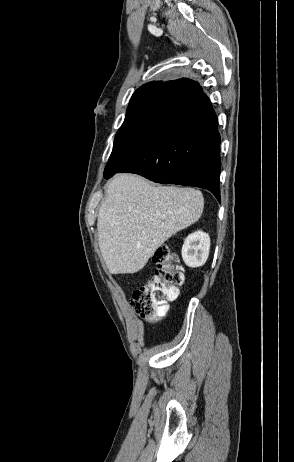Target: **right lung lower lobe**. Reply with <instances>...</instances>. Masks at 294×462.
Segmentation results:
<instances>
[{
	"instance_id": "98d812e1",
	"label": "right lung lower lobe",
	"mask_w": 294,
	"mask_h": 462,
	"mask_svg": "<svg viewBox=\"0 0 294 462\" xmlns=\"http://www.w3.org/2000/svg\"><path fill=\"white\" fill-rule=\"evenodd\" d=\"M185 99L188 104L175 120L116 173H136L157 183L205 188L220 202L216 114L204 93H190Z\"/></svg>"
}]
</instances>
